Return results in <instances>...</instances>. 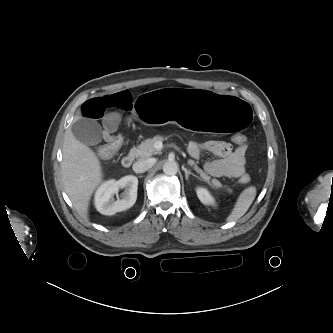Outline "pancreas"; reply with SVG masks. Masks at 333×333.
Returning a JSON list of instances; mask_svg holds the SVG:
<instances>
[{"label":"pancreas","mask_w":333,"mask_h":333,"mask_svg":"<svg viewBox=\"0 0 333 333\" xmlns=\"http://www.w3.org/2000/svg\"><path fill=\"white\" fill-rule=\"evenodd\" d=\"M164 140H165V138L160 135L154 136L153 138L146 139L137 148L131 149L130 155L133 157L145 159L154 154H158L159 151L155 148V143L162 142ZM189 164L194 166V169L196 170L197 173L200 174V177L202 180L211 184L215 188L222 187L220 181H218L217 179H212L210 181V176L207 175L201 168L197 167V165L195 164V162L193 160H189ZM227 191L232 192V189L227 188Z\"/></svg>","instance_id":"obj_1"}]
</instances>
